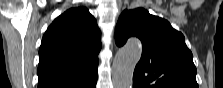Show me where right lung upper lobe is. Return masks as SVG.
Listing matches in <instances>:
<instances>
[{
  "mask_svg": "<svg viewBox=\"0 0 223 88\" xmlns=\"http://www.w3.org/2000/svg\"><path fill=\"white\" fill-rule=\"evenodd\" d=\"M100 35L85 7L71 8L57 17L39 49L38 88H89L98 77Z\"/></svg>",
  "mask_w": 223,
  "mask_h": 88,
  "instance_id": "right-lung-upper-lobe-1",
  "label": "right lung upper lobe"
}]
</instances>
